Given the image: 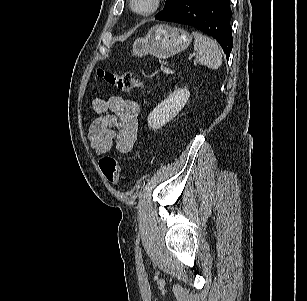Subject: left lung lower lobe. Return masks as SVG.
<instances>
[{"mask_svg":"<svg viewBox=\"0 0 307 301\" xmlns=\"http://www.w3.org/2000/svg\"><path fill=\"white\" fill-rule=\"evenodd\" d=\"M230 0H180L162 21L187 24L215 38L228 59L232 50Z\"/></svg>","mask_w":307,"mask_h":301,"instance_id":"obj_1","label":"left lung lower lobe"}]
</instances>
